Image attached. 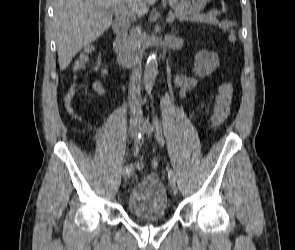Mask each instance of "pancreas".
Masks as SVG:
<instances>
[{
	"label": "pancreas",
	"mask_w": 295,
	"mask_h": 250,
	"mask_svg": "<svg viewBox=\"0 0 295 250\" xmlns=\"http://www.w3.org/2000/svg\"><path fill=\"white\" fill-rule=\"evenodd\" d=\"M170 16H173L174 18L176 19H179V20H185V21H200V22H204V23H207V24H210V25H217L218 24V20L216 18L217 16V11H210L209 13H207L206 15H195V16H192L190 18H187V17H184L182 15H179V14H172L170 13Z\"/></svg>",
	"instance_id": "cf45deb5"
}]
</instances>
